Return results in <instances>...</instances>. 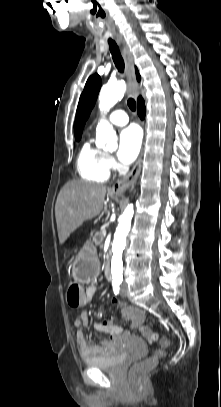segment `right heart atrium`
I'll use <instances>...</instances> for the list:
<instances>
[{
    "instance_id": "obj_1",
    "label": "right heart atrium",
    "mask_w": 221,
    "mask_h": 407,
    "mask_svg": "<svg viewBox=\"0 0 221 407\" xmlns=\"http://www.w3.org/2000/svg\"><path fill=\"white\" fill-rule=\"evenodd\" d=\"M106 164L109 170H112L116 167V162L114 158L110 155H106Z\"/></svg>"
}]
</instances>
